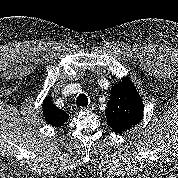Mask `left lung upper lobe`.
Here are the masks:
<instances>
[{"instance_id": "left-lung-upper-lobe-1", "label": "left lung upper lobe", "mask_w": 178, "mask_h": 178, "mask_svg": "<svg viewBox=\"0 0 178 178\" xmlns=\"http://www.w3.org/2000/svg\"><path fill=\"white\" fill-rule=\"evenodd\" d=\"M143 110L142 99L129 77L113 84L106 110L107 122L113 131H129L142 120Z\"/></svg>"}]
</instances>
